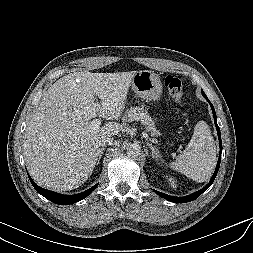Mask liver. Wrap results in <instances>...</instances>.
Returning <instances> with one entry per match:
<instances>
[{
  "label": "liver",
  "mask_w": 253,
  "mask_h": 253,
  "mask_svg": "<svg viewBox=\"0 0 253 253\" xmlns=\"http://www.w3.org/2000/svg\"><path fill=\"white\" fill-rule=\"evenodd\" d=\"M136 72H74L48 88L24 135L25 161L34 180L67 191L90 177L100 154V139L122 130L116 122L93 129L90 120L96 116L113 120L122 115Z\"/></svg>",
  "instance_id": "1"
}]
</instances>
